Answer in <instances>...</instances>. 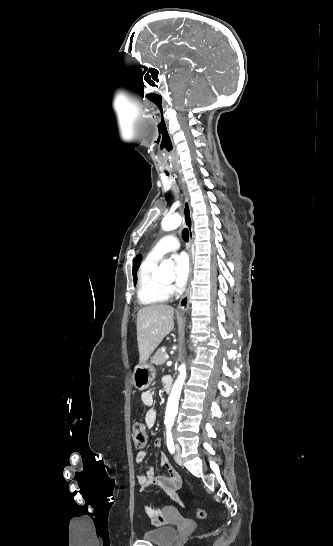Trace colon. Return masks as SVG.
Wrapping results in <instances>:
<instances>
[{
	"label": "colon",
	"mask_w": 333,
	"mask_h": 546,
	"mask_svg": "<svg viewBox=\"0 0 333 546\" xmlns=\"http://www.w3.org/2000/svg\"><path fill=\"white\" fill-rule=\"evenodd\" d=\"M132 439L134 446L137 449H142L146 446L148 440L147 429L144 424L136 423L132 428ZM206 511L204 509H198L196 511V517L198 519L206 518Z\"/></svg>",
	"instance_id": "colon-1"
}]
</instances>
